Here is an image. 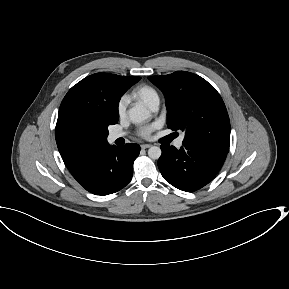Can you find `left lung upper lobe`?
<instances>
[{
    "mask_svg": "<svg viewBox=\"0 0 289 289\" xmlns=\"http://www.w3.org/2000/svg\"><path fill=\"white\" fill-rule=\"evenodd\" d=\"M148 79L165 96L168 128L184 131L185 142L228 153L229 116L221 96L210 83L186 71Z\"/></svg>",
    "mask_w": 289,
    "mask_h": 289,
    "instance_id": "obj_1",
    "label": "left lung upper lobe"
}]
</instances>
